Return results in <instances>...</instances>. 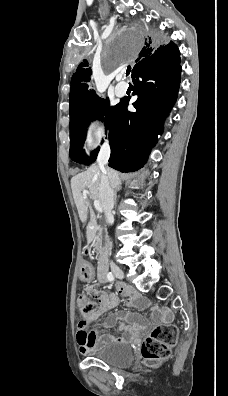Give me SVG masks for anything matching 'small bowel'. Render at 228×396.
<instances>
[{
  "instance_id": "small-bowel-1",
  "label": "small bowel",
  "mask_w": 228,
  "mask_h": 396,
  "mask_svg": "<svg viewBox=\"0 0 228 396\" xmlns=\"http://www.w3.org/2000/svg\"><path fill=\"white\" fill-rule=\"evenodd\" d=\"M83 277L89 278L93 275V268L89 263H84L82 265ZM107 282L106 273L103 275H98V285ZM118 291L128 297L127 306L132 309H143L146 307L147 303L144 298L138 294L129 292L122 285H118ZM87 293L97 300L98 308L90 317L91 322H96L97 319L105 312L116 307L119 303V298L113 293H108L103 290H99L96 285H91L87 287ZM118 322L119 330L124 333L121 337H114L112 335H101L99 336L100 329L110 328L116 325ZM148 329L147 320L133 312L129 311H118L116 313L110 314L102 323H95L90 330H86L79 326L77 332V342L79 346V351L82 354H89L94 348L102 346L111 342L123 341L134 334L144 333Z\"/></svg>"
}]
</instances>
